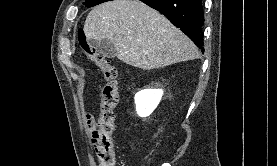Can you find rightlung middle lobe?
<instances>
[{"instance_id":"1","label":"right lung middle lobe","mask_w":277,"mask_h":166,"mask_svg":"<svg viewBox=\"0 0 277 166\" xmlns=\"http://www.w3.org/2000/svg\"><path fill=\"white\" fill-rule=\"evenodd\" d=\"M106 1H110V0H86L85 3H83L86 7H93L95 5H98L100 3L106 2Z\"/></svg>"}]
</instances>
